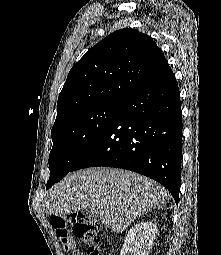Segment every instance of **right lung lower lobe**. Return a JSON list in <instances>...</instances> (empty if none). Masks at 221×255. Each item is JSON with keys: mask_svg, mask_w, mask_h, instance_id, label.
<instances>
[{"mask_svg": "<svg viewBox=\"0 0 221 255\" xmlns=\"http://www.w3.org/2000/svg\"><path fill=\"white\" fill-rule=\"evenodd\" d=\"M182 127L179 88L167 66L120 103L71 171L95 166L131 170L161 183L178 203Z\"/></svg>", "mask_w": 221, "mask_h": 255, "instance_id": "obj_1", "label": "right lung lower lobe"}]
</instances>
